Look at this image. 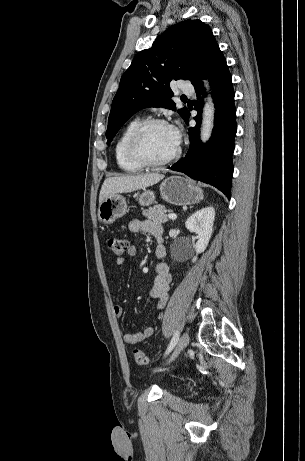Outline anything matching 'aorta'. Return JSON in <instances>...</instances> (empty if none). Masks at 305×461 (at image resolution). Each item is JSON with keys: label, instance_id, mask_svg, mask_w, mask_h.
Masks as SVG:
<instances>
[{"label": "aorta", "instance_id": "1", "mask_svg": "<svg viewBox=\"0 0 305 461\" xmlns=\"http://www.w3.org/2000/svg\"><path fill=\"white\" fill-rule=\"evenodd\" d=\"M206 87H208L207 82H205ZM214 114H215V108L214 104L212 102V99L208 96L207 102L203 108V115H202V124H201V132H200V138L202 142H206L213 130L214 126Z\"/></svg>", "mask_w": 305, "mask_h": 461}]
</instances>
